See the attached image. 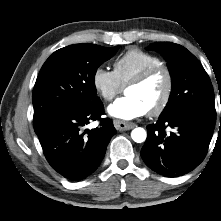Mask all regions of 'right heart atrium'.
Segmentation results:
<instances>
[{
	"mask_svg": "<svg viewBox=\"0 0 221 221\" xmlns=\"http://www.w3.org/2000/svg\"><path fill=\"white\" fill-rule=\"evenodd\" d=\"M92 83L97 94L105 101L113 100L124 88L113 71L101 66L94 70Z\"/></svg>",
	"mask_w": 221,
	"mask_h": 221,
	"instance_id": "obj_1",
	"label": "right heart atrium"
}]
</instances>
